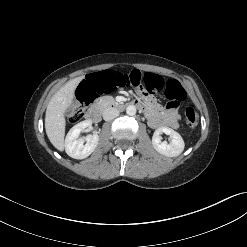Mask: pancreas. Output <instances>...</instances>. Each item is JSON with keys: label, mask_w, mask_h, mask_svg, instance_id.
I'll use <instances>...</instances> for the list:
<instances>
[{"label": "pancreas", "mask_w": 247, "mask_h": 247, "mask_svg": "<svg viewBox=\"0 0 247 247\" xmlns=\"http://www.w3.org/2000/svg\"><path fill=\"white\" fill-rule=\"evenodd\" d=\"M110 99H111L112 101H114L113 98L110 97ZM97 105H98L99 107H101V108L106 107V106H107V97L101 98V99L98 101Z\"/></svg>", "instance_id": "pancreas-1"}]
</instances>
